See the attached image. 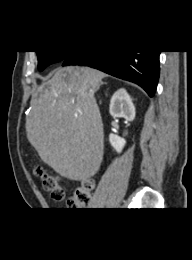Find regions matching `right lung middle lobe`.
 <instances>
[{
	"mask_svg": "<svg viewBox=\"0 0 192 260\" xmlns=\"http://www.w3.org/2000/svg\"><path fill=\"white\" fill-rule=\"evenodd\" d=\"M36 52L38 56V69L40 71L44 70L48 65L52 63L63 61L68 55L71 54V52L69 51Z\"/></svg>",
	"mask_w": 192,
	"mask_h": 260,
	"instance_id": "right-lung-middle-lobe-1",
	"label": "right lung middle lobe"
}]
</instances>
